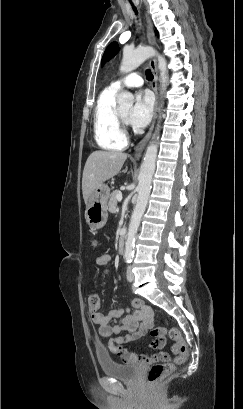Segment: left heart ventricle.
<instances>
[{"label":"left heart ventricle","mask_w":243,"mask_h":409,"mask_svg":"<svg viewBox=\"0 0 243 409\" xmlns=\"http://www.w3.org/2000/svg\"><path fill=\"white\" fill-rule=\"evenodd\" d=\"M130 109V106L121 107L119 108V113L124 119H127Z\"/></svg>","instance_id":"1"}]
</instances>
